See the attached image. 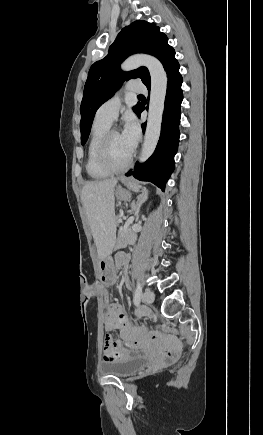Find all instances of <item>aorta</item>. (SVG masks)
Instances as JSON below:
<instances>
[{"mask_svg":"<svg viewBox=\"0 0 263 435\" xmlns=\"http://www.w3.org/2000/svg\"><path fill=\"white\" fill-rule=\"evenodd\" d=\"M145 66L151 77V92L148 121L139 161L145 162L155 151L158 143L167 92V75L161 62L150 55H135L126 59L121 68L123 71Z\"/></svg>","mask_w":263,"mask_h":435,"instance_id":"obj_1","label":"aorta"}]
</instances>
